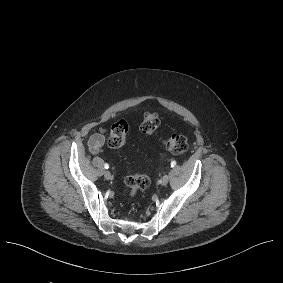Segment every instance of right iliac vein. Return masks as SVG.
Segmentation results:
<instances>
[{
    "label": "right iliac vein",
    "mask_w": 283,
    "mask_h": 283,
    "mask_svg": "<svg viewBox=\"0 0 283 283\" xmlns=\"http://www.w3.org/2000/svg\"><path fill=\"white\" fill-rule=\"evenodd\" d=\"M104 177H105V179L109 180V179H111L112 175H111V173L109 171H105L104 172Z\"/></svg>",
    "instance_id": "obj_1"
}]
</instances>
